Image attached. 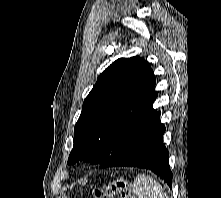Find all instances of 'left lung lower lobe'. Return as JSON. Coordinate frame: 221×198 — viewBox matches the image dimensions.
<instances>
[{
    "instance_id": "0a47b994",
    "label": "left lung lower lobe",
    "mask_w": 221,
    "mask_h": 198,
    "mask_svg": "<svg viewBox=\"0 0 221 198\" xmlns=\"http://www.w3.org/2000/svg\"><path fill=\"white\" fill-rule=\"evenodd\" d=\"M164 132L165 126L160 123V112L154 111L100 166L146 168L159 175L172 188L173 175L169 168L168 150L163 144Z\"/></svg>"
}]
</instances>
